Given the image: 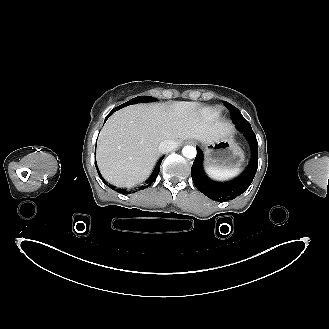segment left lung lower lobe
I'll return each instance as SVG.
<instances>
[{
  "mask_svg": "<svg viewBox=\"0 0 329 329\" xmlns=\"http://www.w3.org/2000/svg\"><path fill=\"white\" fill-rule=\"evenodd\" d=\"M245 137L251 154V160L243 173L232 181L218 182L211 180L202 169V154L197 148V156L191 169L192 180L196 188L215 201L232 200L244 193L253 181L258 167V142L248 121L236 124Z\"/></svg>",
  "mask_w": 329,
  "mask_h": 329,
  "instance_id": "1",
  "label": "left lung lower lobe"
}]
</instances>
